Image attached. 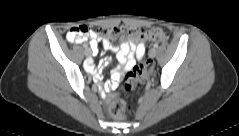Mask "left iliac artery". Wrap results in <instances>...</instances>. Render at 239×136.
<instances>
[{"mask_svg":"<svg viewBox=\"0 0 239 136\" xmlns=\"http://www.w3.org/2000/svg\"><path fill=\"white\" fill-rule=\"evenodd\" d=\"M154 47H155V48H157V47H158V44H157V43H155V44H154Z\"/></svg>","mask_w":239,"mask_h":136,"instance_id":"left-iliac-artery-1","label":"left iliac artery"}]
</instances>
